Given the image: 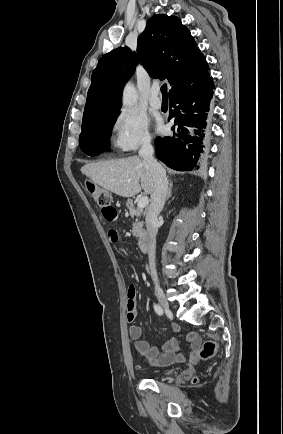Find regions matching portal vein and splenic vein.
<instances>
[{
	"mask_svg": "<svg viewBox=\"0 0 283 434\" xmlns=\"http://www.w3.org/2000/svg\"><path fill=\"white\" fill-rule=\"evenodd\" d=\"M149 203V199L147 196H143L138 200L137 206L139 209L145 208Z\"/></svg>",
	"mask_w": 283,
	"mask_h": 434,
	"instance_id": "portal-vein-and-splenic-vein-1",
	"label": "portal vein and splenic vein"
}]
</instances>
